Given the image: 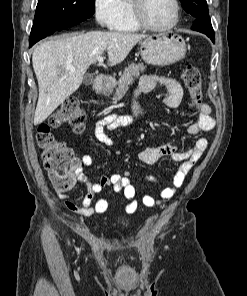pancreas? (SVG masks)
Wrapping results in <instances>:
<instances>
[{
  "instance_id": "pancreas-1",
  "label": "pancreas",
  "mask_w": 247,
  "mask_h": 296,
  "mask_svg": "<svg viewBox=\"0 0 247 296\" xmlns=\"http://www.w3.org/2000/svg\"><path fill=\"white\" fill-rule=\"evenodd\" d=\"M145 70L143 63H131L124 69L123 75L117 82L116 93L114 96L115 100H120L129 89V86L134 83L135 78H138L140 72Z\"/></svg>"
}]
</instances>
